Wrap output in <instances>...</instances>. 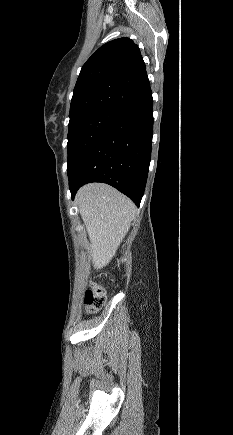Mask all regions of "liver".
I'll use <instances>...</instances> for the list:
<instances>
[{"label":"liver","instance_id":"obj_1","mask_svg":"<svg viewBox=\"0 0 233 435\" xmlns=\"http://www.w3.org/2000/svg\"><path fill=\"white\" fill-rule=\"evenodd\" d=\"M76 202L91 242L94 268L101 269L109 264L128 233L136 207L115 188L102 183L80 188Z\"/></svg>","mask_w":233,"mask_h":435}]
</instances>
